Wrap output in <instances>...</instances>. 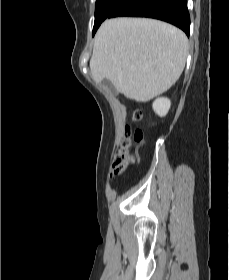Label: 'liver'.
<instances>
[{
	"label": "liver",
	"mask_w": 229,
	"mask_h": 280,
	"mask_svg": "<svg viewBox=\"0 0 229 280\" xmlns=\"http://www.w3.org/2000/svg\"><path fill=\"white\" fill-rule=\"evenodd\" d=\"M187 54L186 35L168 23L114 18L96 33L90 71L97 84L106 78L126 98L147 102L179 79Z\"/></svg>",
	"instance_id": "1"
}]
</instances>
